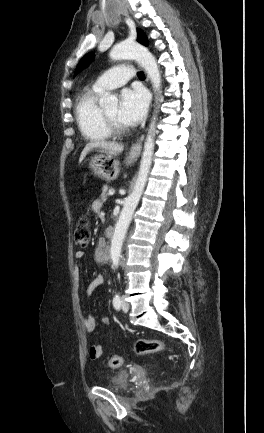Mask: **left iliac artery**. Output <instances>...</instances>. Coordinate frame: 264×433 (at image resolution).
<instances>
[{
  "label": "left iliac artery",
  "mask_w": 264,
  "mask_h": 433,
  "mask_svg": "<svg viewBox=\"0 0 264 433\" xmlns=\"http://www.w3.org/2000/svg\"><path fill=\"white\" fill-rule=\"evenodd\" d=\"M120 305H121L120 296L116 294L113 299V306L115 307V309L118 310L120 308Z\"/></svg>",
  "instance_id": "left-iliac-artery-1"
}]
</instances>
